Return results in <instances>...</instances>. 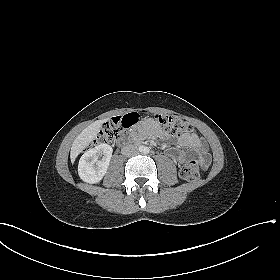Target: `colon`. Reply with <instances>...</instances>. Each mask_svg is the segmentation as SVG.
I'll return each instance as SVG.
<instances>
[{
    "label": "colon",
    "mask_w": 280,
    "mask_h": 280,
    "mask_svg": "<svg viewBox=\"0 0 280 280\" xmlns=\"http://www.w3.org/2000/svg\"><path fill=\"white\" fill-rule=\"evenodd\" d=\"M153 121L159 128L173 135H184L193 133V126L186 120L165 114H155ZM139 120L137 113H129L122 117H115L105 122L95 138L96 144H113L117 142L122 134ZM180 176L187 181H195L201 176V166L197 161L187 162L180 170Z\"/></svg>",
    "instance_id": "obj_1"
}]
</instances>
